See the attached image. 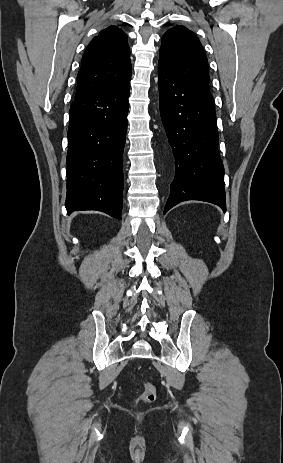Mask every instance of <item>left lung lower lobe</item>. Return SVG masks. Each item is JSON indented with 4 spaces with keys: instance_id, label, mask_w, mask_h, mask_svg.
<instances>
[{
    "instance_id": "obj_1",
    "label": "left lung lower lobe",
    "mask_w": 283,
    "mask_h": 463,
    "mask_svg": "<svg viewBox=\"0 0 283 463\" xmlns=\"http://www.w3.org/2000/svg\"><path fill=\"white\" fill-rule=\"evenodd\" d=\"M160 114L175 158V179L164 214L186 200L210 202L226 210L224 167L218 152L216 111L211 95L158 63Z\"/></svg>"
}]
</instances>
